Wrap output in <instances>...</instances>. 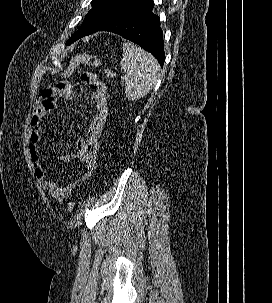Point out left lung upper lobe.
<instances>
[{"mask_svg": "<svg viewBox=\"0 0 272 303\" xmlns=\"http://www.w3.org/2000/svg\"><path fill=\"white\" fill-rule=\"evenodd\" d=\"M142 0H92V9L87 13L80 28L68 39L67 44L75 42L82 34L90 31L100 22L131 8Z\"/></svg>", "mask_w": 272, "mask_h": 303, "instance_id": "obj_1", "label": "left lung upper lobe"}]
</instances>
